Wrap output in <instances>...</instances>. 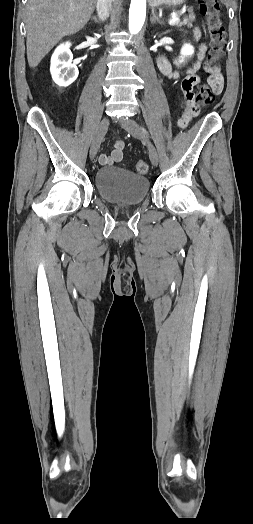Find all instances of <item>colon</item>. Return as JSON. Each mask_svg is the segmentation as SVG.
Listing matches in <instances>:
<instances>
[{
	"label": "colon",
	"mask_w": 253,
	"mask_h": 524,
	"mask_svg": "<svg viewBox=\"0 0 253 524\" xmlns=\"http://www.w3.org/2000/svg\"><path fill=\"white\" fill-rule=\"evenodd\" d=\"M200 11L206 19L207 30L209 34V53L208 61L210 66L208 67L206 74L207 76L213 75L212 66L219 62L224 55L225 46V30L218 13L217 0H197ZM213 98V90L208 85H202L197 91V101L203 106L211 102ZM136 171L140 174H144L148 171V165L144 161H138L136 163Z\"/></svg>",
	"instance_id": "obj_1"
}]
</instances>
